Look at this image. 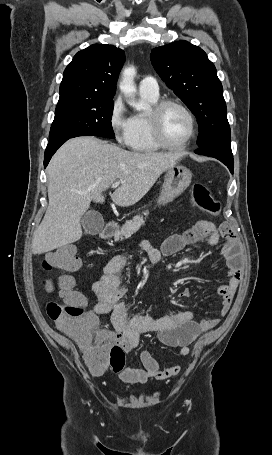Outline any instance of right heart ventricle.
Returning <instances> with one entry per match:
<instances>
[{"mask_svg":"<svg viewBox=\"0 0 272 455\" xmlns=\"http://www.w3.org/2000/svg\"><path fill=\"white\" fill-rule=\"evenodd\" d=\"M141 97L151 105L158 102V95L141 94ZM128 146L131 150L140 153H151L159 150L160 147L154 142L151 135L148 113L136 114L131 117V133Z\"/></svg>","mask_w":272,"mask_h":455,"instance_id":"obj_1","label":"right heart ventricle"}]
</instances>
